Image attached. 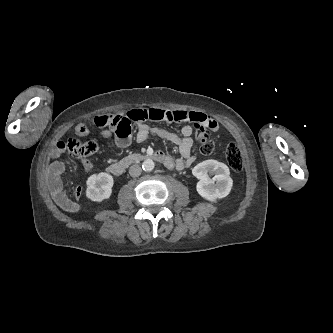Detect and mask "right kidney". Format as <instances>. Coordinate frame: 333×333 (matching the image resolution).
Returning a JSON list of instances; mask_svg holds the SVG:
<instances>
[{
    "instance_id": "right-kidney-1",
    "label": "right kidney",
    "mask_w": 333,
    "mask_h": 333,
    "mask_svg": "<svg viewBox=\"0 0 333 333\" xmlns=\"http://www.w3.org/2000/svg\"><path fill=\"white\" fill-rule=\"evenodd\" d=\"M86 184L87 197L92 201L101 202L111 196L114 181L110 174L101 172L91 175Z\"/></svg>"
}]
</instances>
